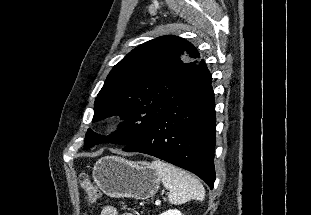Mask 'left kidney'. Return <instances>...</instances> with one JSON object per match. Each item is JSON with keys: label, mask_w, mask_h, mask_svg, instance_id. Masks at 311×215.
Here are the masks:
<instances>
[{"label": "left kidney", "mask_w": 311, "mask_h": 215, "mask_svg": "<svg viewBox=\"0 0 311 215\" xmlns=\"http://www.w3.org/2000/svg\"><path fill=\"white\" fill-rule=\"evenodd\" d=\"M160 215H182V213L177 209H173V210H168L166 212H163Z\"/></svg>", "instance_id": "5707ae66"}]
</instances>
